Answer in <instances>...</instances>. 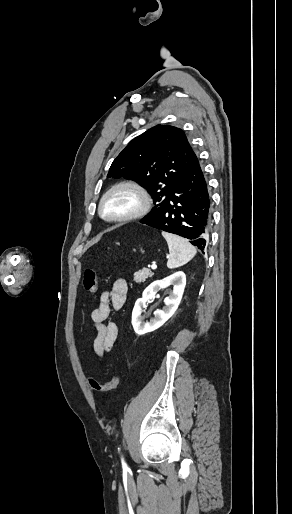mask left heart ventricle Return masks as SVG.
Masks as SVG:
<instances>
[{
    "label": "left heart ventricle",
    "mask_w": 292,
    "mask_h": 514,
    "mask_svg": "<svg viewBox=\"0 0 292 514\" xmlns=\"http://www.w3.org/2000/svg\"><path fill=\"white\" fill-rule=\"evenodd\" d=\"M135 204L133 195L121 192L113 196L107 203L105 212L107 215H117L131 209Z\"/></svg>",
    "instance_id": "obj_1"
}]
</instances>
